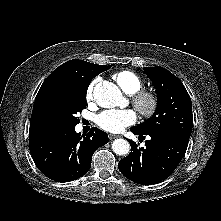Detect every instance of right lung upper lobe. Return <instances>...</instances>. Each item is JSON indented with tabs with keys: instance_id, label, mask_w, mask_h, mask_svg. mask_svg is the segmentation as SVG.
Wrapping results in <instances>:
<instances>
[{
	"instance_id": "cb5924a9",
	"label": "right lung upper lobe",
	"mask_w": 221,
	"mask_h": 221,
	"mask_svg": "<svg viewBox=\"0 0 221 221\" xmlns=\"http://www.w3.org/2000/svg\"><path fill=\"white\" fill-rule=\"evenodd\" d=\"M106 65H94L92 63L73 59L56 68L43 82L35 99L29 134H37L42 131L37 125L38 110L47 94L56 87L63 85L89 86L91 80L104 72Z\"/></svg>"
}]
</instances>
